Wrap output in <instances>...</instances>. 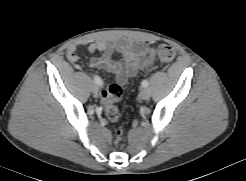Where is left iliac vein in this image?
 <instances>
[{
  "instance_id": "1",
  "label": "left iliac vein",
  "mask_w": 246,
  "mask_h": 181,
  "mask_svg": "<svg viewBox=\"0 0 246 181\" xmlns=\"http://www.w3.org/2000/svg\"><path fill=\"white\" fill-rule=\"evenodd\" d=\"M140 98L143 100H148L151 96L150 90L148 88H142L139 94Z\"/></svg>"
}]
</instances>
